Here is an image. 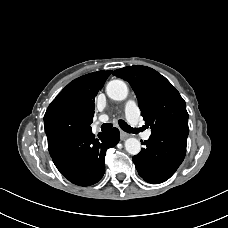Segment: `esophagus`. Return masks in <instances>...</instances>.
Returning <instances> with one entry per match:
<instances>
[{
	"mask_svg": "<svg viewBox=\"0 0 228 228\" xmlns=\"http://www.w3.org/2000/svg\"><path fill=\"white\" fill-rule=\"evenodd\" d=\"M130 135L124 131H120V138L121 140H125L129 137Z\"/></svg>",
	"mask_w": 228,
	"mask_h": 228,
	"instance_id": "obj_1",
	"label": "esophagus"
}]
</instances>
